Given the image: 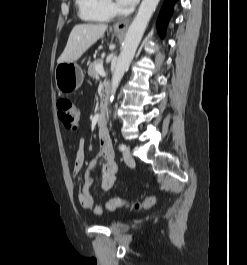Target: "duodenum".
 <instances>
[{"label":"duodenum","mask_w":247,"mask_h":265,"mask_svg":"<svg viewBox=\"0 0 247 265\" xmlns=\"http://www.w3.org/2000/svg\"><path fill=\"white\" fill-rule=\"evenodd\" d=\"M107 94H108V91H106L105 94H104L102 108H101V111L98 114V124L101 127H103L106 124V121H107V118H108L107 108H106Z\"/></svg>","instance_id":"duodenum-1"}]
</instances>
